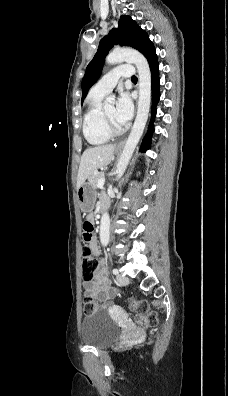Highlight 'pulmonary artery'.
I'll return each mask as SVG.
<instances>
[{
	"label": "pulmonary artery",
	"instance_id": "e3ab8cb5",
	"mask_svg": "<svg viewBox=\"0 0 228 396\" xmlns=\"http://www.w3.org/2000/svg\"><path fill=\"white\" fill-rule=\"evenodd\" d=\"M132 75L133 68L130 65H120L99 79L91 92L104 96L116 86L120 78H130Z\"/></svg>",
	"mask_w": 228,
	"mask_h": 396
}]
</instances>
